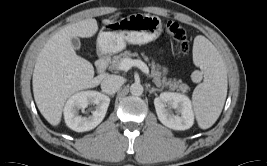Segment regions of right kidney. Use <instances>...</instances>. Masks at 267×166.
<instances>
[{
  "instance_id": "ca27d5eb",
  "label": "right kidney",
  "mask_w": 267,
  "mask_h": 166,
  "mask_svg": "<svg viewBox=\"0 0 267 166\" xmlns=\"http://www.w3.org/2000/svg\"><path fill=\"white\" fill-rule=\"evenodd\" d=\"M110 99L97 91H82L71 96L64 107L66 125L76 132L94 129L105 117ZM89 104L96 105V110L89 117L78 115L80 109H85Z\"/></svg>"
}]
</instances>
